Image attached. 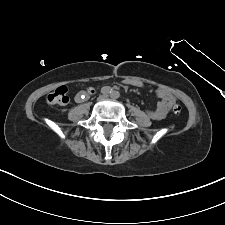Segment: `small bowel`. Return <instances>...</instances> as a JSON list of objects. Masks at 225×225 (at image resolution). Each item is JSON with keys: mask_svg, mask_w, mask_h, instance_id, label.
Here are the masks:
<instances>
[{"mask_svg": "<svg viewBox=\"0 0 225 225\" xmlns=\"http://www.w3.org/2000/svg\"><path fill=\"white\" fill-rule=\"evenodd\" d=\"M124 84L133 85L137 87H143L144 82L140 80H125ZM94 89L89 87L79 91L75 96V101L81 103L85 101L92 93ZM157 99L159 100L155 110L146 111L147 115L154 120H161L165 118L172 108V106L177 102L176 97L164 88H158L155 92Z\"/></svg>", "mask_w": 225, "mask_h": 225, "instance_id": "small-bowel-1", "label": "small bowel"}]
</instances>
